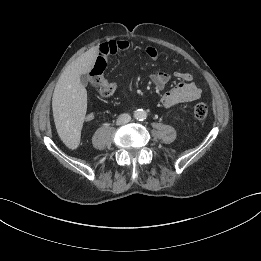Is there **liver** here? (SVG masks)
Here are the masks:
<instances>
[{
    "instance_id": "6515ba94",
    "label": "liver",
    "mask_w": 261,
    "mask_h": 261,
    "mask_svg": "<svg viewBox=\"0 0 261 261\" xmlns=\"http://www.w3.org/2000/svg\"><path fill=\"white\" fill-rule=\"evenodd\" d=\"M99 50L91 48L69 64L61 74L52 97L53 117L62 140L78 134L87 110V91L80 75L90 72Z\"/></svg>"
}]
</instances>
